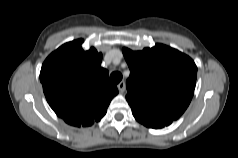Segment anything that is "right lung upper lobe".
<instances>
[{
  "instance_id": "cb5924a9",
  "label": "right lung upper lobe",
  "mask_w": 238,
  "mask_h": 158,
  "mask_svg": "<svg viewBox=\"0 0 238 158\" xmlns=\"http://www.w3.org/2000/svg\"><path fill=\"white\" fill-rule=\"evenodd\" d=\"M83 40L68 42L44 61L40 81L54 112L73 126H90L107 112L117 87L102 68V53L84 51Z\"/></svg>"
}]
</instances>
